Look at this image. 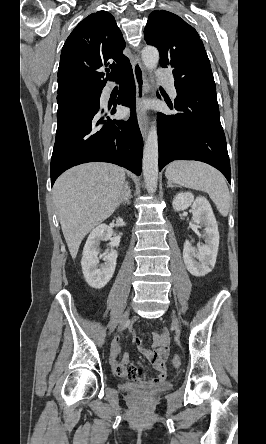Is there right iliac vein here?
Instances as JSON below:
<instances>
[{"instance_id":"63e3f726","label":"right iliac vein","mask_w":266,"mask_h":444,"mask_svg":"<svg viewBox=\"0 0 266 444\" xmlns=\"http://www.w3.org/2000/svg\"><path fill=\"white\" fill-rule=\"evenodd\" d=\"M128 316H129V311H126L125 314L123 315L121 321H120L119 328H122V327H123V325L125 324V322H126Z\"/></svg>"}]
</instances>
